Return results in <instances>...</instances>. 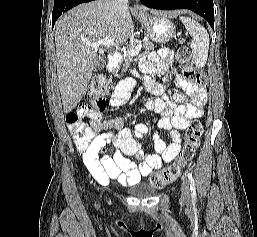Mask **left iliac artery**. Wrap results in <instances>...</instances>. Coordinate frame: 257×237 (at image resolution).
Listing matches in <instances>:
<instances>
[{
  "label": "left iliac artery",
  "mask_w": 257,
  "mask_h": 237,
  "mask_svg": "<svg viewBox=\"0 0 257 237\" xmlns=\"http://www.w3.org/2000/svg\"><path fill=\"white\" fill-rule=\"evenodd\" d=\"M187 176L190 182V190L192 193V196L195 197L196 196V190H195V183H194V178L192 176V174L190 172H187Z\"/></svg>",
  "instance_id": "left-iliac-artery-1"
}]
</instances>
